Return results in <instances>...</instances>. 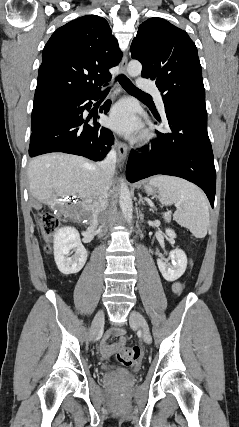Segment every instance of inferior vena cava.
<instances>
[{"mask_svg": "<svg viewBox=\"0 0 239 427\" xmlns=\"http://www.w3.org/2000/svg\"><path fill=\"white\" fill-rule=\"evenodd\" d=\"M117 160L116 151L112 149L104 160H102L99 166V173L101 176L99 196L96 201V210L94 224H97L98 221H102L103 214L105 213L108 207V190H109V180L111 175L114 173L115 164Z\"/></svg>", "mask_w": 239, "mask_h": 427, "instance_id": "obj_1", "label": "inferior vena cava"}]
</instances>
